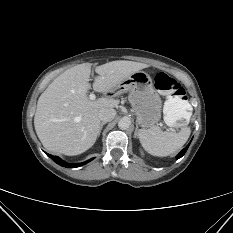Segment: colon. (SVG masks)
<instances>
[{
    "label": "colon",
    "mask_w": 233,
    "mask_h": 233,
    "mask_svg": "<svg viewBox=\"0 0 233 233\" xmlns=\"http://www.w3.org/2000/svg\"><path fill=\"white\" fill-rule=\"evenodd\" d=\"M154 84L157 90L167 94L163 108L167 124L175 128L185 127L190 121L192 107L184 89L175 79L163 72L156 74Z\"/></svg>",
    "instance_id": "5ec220e1"
}]
</instances>
